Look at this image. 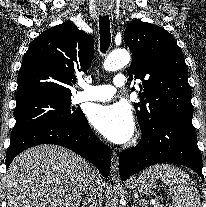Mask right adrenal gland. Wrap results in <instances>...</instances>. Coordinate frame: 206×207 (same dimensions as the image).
<instances>
[{
  "label": "right adrenal gland",
  "mask_w": 206,
  "mask_h": 207,
  "mask_svg": "<svg viewBox=\"0 0 206 207\" xmlns=\"http://www.w3.org/2000/svg\"><path fill=\"white\" fill-rule=\"evenodd\" d=\"M91 202H92V197L90 196V198L83 200L82 207H85V206L90 207Z\"/></svg>",
  "instance_id": "right-adrenal-gland-1"
}]
</instances>
